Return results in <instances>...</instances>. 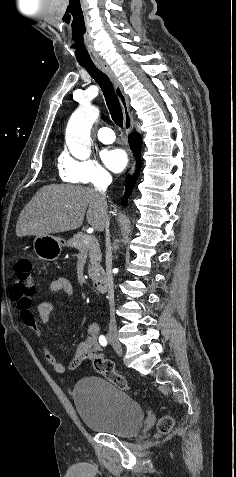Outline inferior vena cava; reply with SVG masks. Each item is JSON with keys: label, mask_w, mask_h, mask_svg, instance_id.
I'll list each match as a JSON object with an SVG mask.
<instances>
[{"label": "inferior vena cava", "mask_w": 236, "mask_h": 477, "mask_svg": "<svg viewBox=\"0 0 236 477\" xmlns=\"http://www.w3.org/2000/svg\"><path fill=\"white\" fill-rule=\"evenodd\" d=\"M111 177H105L99 180L94 184L95 191L101 196V199L106 203V190L108 185L111 183ZM103 229L106 231V276H107V285H108V300L110 305V323L115 325V317L113 313L114 306V282L112 274V247L110 243V234L108 226V216L107 212L104 213L103 219Z\"/></svg>", "instance_id": "1"}]
</instances>
